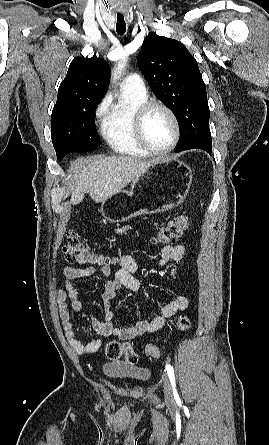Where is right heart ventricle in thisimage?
I'll return each mask as SVG.
<instances>
[{"mask_svg":"<svg viewBox=\"0 0 269 445\" xmlns=\"http://www.w3.org/2000/svg\"><path fill=\"white\" fill-rule=\"evenodd\" d=\"M146 100V94L140 95L122 89L118 101L105 113L101 123V132L115 152L139 159L149 156L137 143L133 128L134 113Z\"/></svg>","mask_w":269,"mask_h":445,"instance_id":"right-heart-ventricle-1","label":"right heart ventricle"}]
</instances>
